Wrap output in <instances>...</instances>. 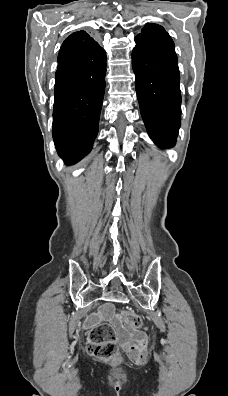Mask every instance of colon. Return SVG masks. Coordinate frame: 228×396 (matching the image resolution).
<instances>
[{"label": "colon", "mask_w": 228, "mask_h": 396, "mask_svg": "<svg viewBox=\"0 0 228 396\" xmlns=\"http://www.w3.org/2000/svg\"><path fill=\"white\" fill-rule=\"evenodd\" d=\"M124 325L132 330L139 329L143 322L132 311L121 313ZM88 353L100 360H110L118 354V344L115 331L111 324L102 323L95 326L89 333Z\"/></svg>", "instance_id": "1"}]
</instances>
